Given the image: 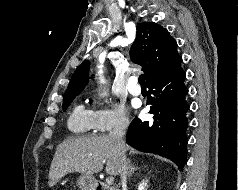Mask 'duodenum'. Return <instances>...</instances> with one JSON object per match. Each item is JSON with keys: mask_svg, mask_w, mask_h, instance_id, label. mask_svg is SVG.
<instances>
[{"mask_svg": "<svg viewBox=\"0 0 238 190\" xmlns=\"http://www.w3.org/2000/svg\"><path fill=\"white\" fill-rule=\"evenodd\" d=\"M94 190H112V189L102 183H97L94 185Z\"/></svg>", "mask_w": 238, "mask_h": 190, "instance_id": "obj_1", "label": "duodenum"}]
</instances>
